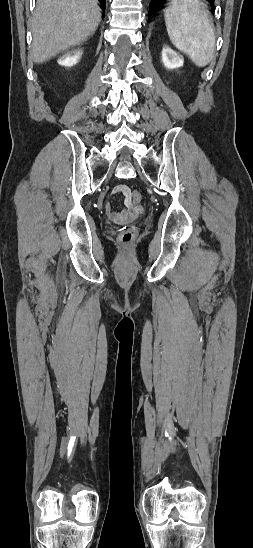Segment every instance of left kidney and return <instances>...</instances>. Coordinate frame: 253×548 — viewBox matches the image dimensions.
<instances>
[{"mask_svg":"<svg viewBox=\"0 0 253 548\" xmlns=\"http://www.w3.org/2000/svg\"><path fill=\"white\" fill-rule=\"evenodd\" d=\"M162 62L167 69H176L184 64V59L173 49L164 47L162 50Z\"/></svg>","mask_w":253,"mask_h":548,"instance_id":"obj_1","label":"left kidney"}]
</instances>
